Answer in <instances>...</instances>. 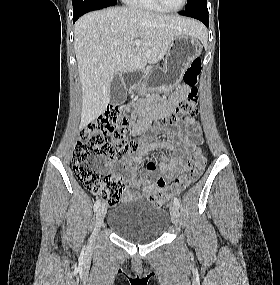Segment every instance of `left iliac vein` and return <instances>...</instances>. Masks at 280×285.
Here are the masks:
<instances>
[{"instance_id":"left-iliac-vein-1","label":"left iliac vein","mask_w":280,"mask_h":285,"mask_svg":"<svg viewBox=\"0 0 280 285\" xmlns=\"http://www.w3.org/2000/svg\"><path fill=\"white\" fill-rule=\"evenodd\" d=\"M171 220L174 225L179 223V210L175 204L170 205Z\"/></svg>"}]
</instances>
